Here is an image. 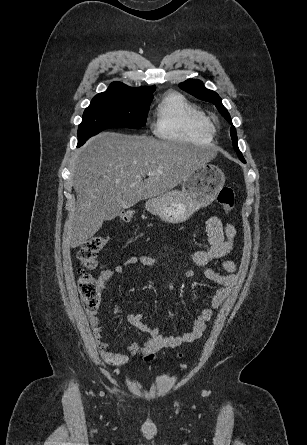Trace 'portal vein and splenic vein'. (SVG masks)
Here are the masks:
<instances>
[{
    "label": "portal vein and splenic vein",
    "mask_w": 307,
    "mask_h": 445,
    "mask_svg": "<svg viewBox=\"0 0 307 445\" xmlns=\"http://www.w3.org/2000/svg\"><path fill=\"white\" fill-rule=\"evenodd\" d=\"M145 174H162L161 170H156V172H145Z\"/></svg>",
    "instance_id": "18ae733b"
}]
</instances>
